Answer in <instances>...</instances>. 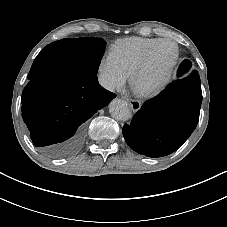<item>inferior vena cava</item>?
Instances as JSON below:
<instances>
[{
  "label": "inferior vena cava",
  "instance_id": "inferior-vena-cava-1",
  "mask_svg": "<svg viewBox=\"0 0 227 227\" xmlns=\"http://www.w3.org/2000/svg\"><path fill=\"white\" fill-rule=\"evenodd\" d=\"M98 81H99V84L102 87H104L105 89L110 90V91L114 90V86H113L112 82L109 80V78L106 75L99 74Z\"/></svg>",
  "mask_w": 227,
  "mask_h": 227
}]
</instances>
